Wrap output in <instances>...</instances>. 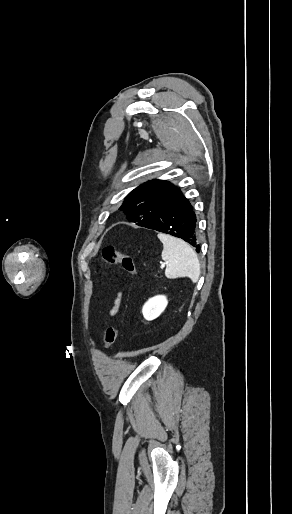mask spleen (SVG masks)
Returning a JSON list of instances; mask_svg holds the SVG:
<instances>
[{
  "instance_id": "spleen-1",
  "label": "spleen",
  "mask_w": 292,
  "mask_h": 514,
  "mask_svg": "<svg viewBox=\"0 0 292 514\" xmlns=\"http://www.w3.org/2000/svg\"><path fill=\"white\" fill-rule=\"evenodd\" d=\"M160 242L163 244L162 260L168 262L165 270L166 278H190L192 282H197L200 276V264L193 248L168 234H158Z\"/></svg>"
}]
</instances>
